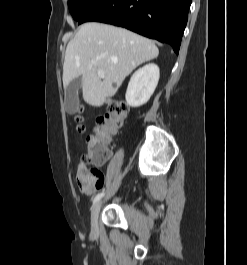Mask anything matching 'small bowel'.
I'll return each instance as SVG.
<instances>
[{
  "label": "small bowel",
  "instance_id": "1",
  "mask_svg": "<svg viewBox=\"0 0 247 265\" xmlns=\"http://www.w3.org/2000/svg\"><path fill=\"white\" fill-rule=\"evenodd\" d=\"M75 181L82 193L92 195L102 188L104 177L102 174L92 176L86 172L83 165H80L75 174Z\"/></svg>",
  "mask_w": 247,
  "mask_h": 265
}]
</instances>
